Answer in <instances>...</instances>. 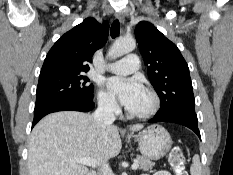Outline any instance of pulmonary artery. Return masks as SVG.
Returning a JSON list of instances; mask_svg holds the SVG:
<instances>
[{
  "label": "pulmonary artery",
  "instance_id": "e3ab8cb5",
  "mask_svg": "<svg viewBox=\"0 0 233 175\" xmlns=\"http://www.w3.org/2000/svg\"><path fill=\"white\" fill-rule=\"evenodd\" d=\"M140 65V60L136 54H129L125 58L107 64V69L113 73L127 75L135 72Z\"/></svg>",
  "mask_w": 233,
  "mask_h": 175
}]
</instances>
